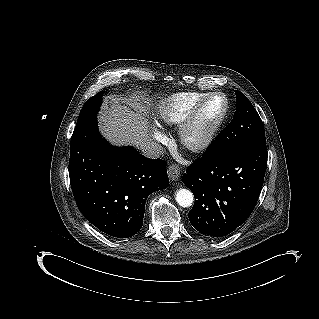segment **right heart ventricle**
<instances>
[{
  "label": "right heart ventricle",
  "instance_id": "e07e8e85",
  "mask_svg": "<svg viewBox=\"0 0 319 319\" xmlns=\"http://www.w3.org/2000/svg\"><path fill=\"white\" fill-rule=\"evenodd\" d=\"M207 94L187 91L172 94L163 99L158 107L157 116L168 126L180 125L194 106Z\"/></svg>",
  "mask_w": 319,
  "mask_h": 319
}]
</instances>
